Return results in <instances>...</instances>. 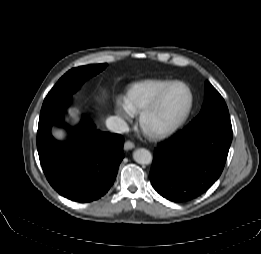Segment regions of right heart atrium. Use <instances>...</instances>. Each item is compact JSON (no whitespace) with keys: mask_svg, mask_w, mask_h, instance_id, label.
<instances>
[{"mask_svg":"<svg viewBox=\"0 0 261 254\" xmlns=\"http://www.w3.org/2000/svg\"><path fill=\"white\" fill-rule=\"evenodd\" d=\"M116 114L123 119H130L134 115L128 107L126 100H118L115 106Z\"/></svg>","mask_w":261,"mask_h":254,"instance_id":"right-heart-atrium-1","label":"right heart atrium"}]
</instances>
